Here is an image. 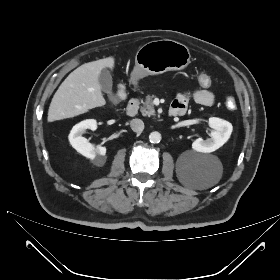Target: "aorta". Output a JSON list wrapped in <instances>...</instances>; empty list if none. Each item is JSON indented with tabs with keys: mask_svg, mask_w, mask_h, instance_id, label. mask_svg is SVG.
<instances>
[{
	"mask_svg": "<svg viewBox=\"0 0 280 280\" xmlns=\"http://www.w3.org/2000/svg\"><path fill=\"white\" fill-rule=\"evenodd\" d=\"M149 141L153 144L159 143L161 141V134L157 131H153L149 135Z\"/></svg>",
	"mask_w": 280,
	"mask_h": 280,
	"instance_id": "762f6f07",
	"label": "aorta"
}]
</instances>
